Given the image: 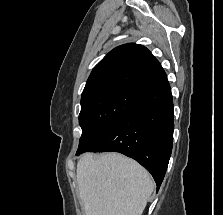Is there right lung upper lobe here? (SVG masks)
Here are the masks:
<instances>
[{
	"instance_id": "right-lung-upper-lobe-1",
	"label": "right lung upper lobe",
	"mask_w": 223,
	"mask_h": 215,
	"mask_svg": "<svg viewBox=\"0 0 223 215\" xmlns=\"http://www.w3.org/2000/svg\"><path fill=\"white\" fill-rule=\"evenodd\" d=\"M168 83L158 60L142 45L129 43L110 51L92 70L81 103L106 92L127 90L142 96Z\"/></svg>"
}]
</instances>
